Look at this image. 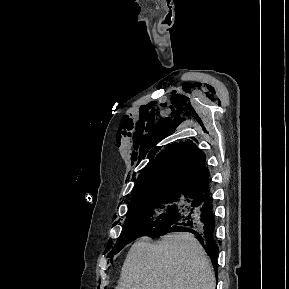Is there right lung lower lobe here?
I'll return each instance as SVG.
<instances>
[{
  "instance_id": "98d812e1",
  "label": "right lung lower lobe",
  "mask_w": 289,
  "mask_h": 289,
  "mask_svg": "<svg viewBox=\"0 0 289 289\" xmlns=\"http://www.w3.org/2000/svg\"><path fill=\"white\" fill-rule=\"evenodd\" d=\"M199 202L194 210L185 219L167 231L153 233L151 236H161L169 232L186 231L191 232L198 237L200 243L205 248L211 258L213 267L217 273V254L218 247L214 238L215 219L213 213L212 197L210 191L198 195Z\"/></svg>"
}]
</instances>
